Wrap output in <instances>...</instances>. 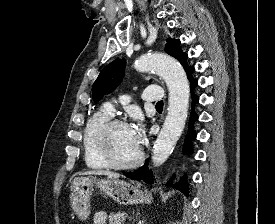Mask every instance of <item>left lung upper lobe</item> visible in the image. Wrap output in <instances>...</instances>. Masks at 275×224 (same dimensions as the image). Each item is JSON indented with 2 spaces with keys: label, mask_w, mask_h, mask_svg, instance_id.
<instances>
[{
  "label": "left lung upper lobe",
  "mask_w": 275,
  "mask_h": 224,
  "mask_svg": "<svg viewBox=\"0 0 275 224\" xmlns=\"http://www.w3.org/2000/svg\"><path fill=\"white\" fill-rule=\"evenodd\" d=\"M165 50L169 55L179 60L186 73L193 69V67L186 63L188 56L181 50L178 39H167ZM125 65L126 61L124 59H115L101 71L92 89L93 100L95 102L99 101L105 94L111 92L120 84L123 79Z\"/></svg>",
  "instance_id": "1"
}]
</instances>
